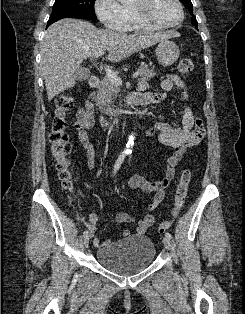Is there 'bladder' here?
I'll use <instances>...</instances> for the list:
<instances>
[{"label": "bladder", "instance_id": "1", "mask_svg": "<svg viewBox=\"0 0 245 314\" xmlns=\"http://www.w3.org/2000/svg\"><path fill=\"white\" fill-rule=\"evenodd\" d=\"M153 242L143 235H132L109 242L96 251L97 261L110 271L130 275L146 269L155 259Z\"/></svg>", "mask_w": 245, "mask_h": 314}]
</instances>
